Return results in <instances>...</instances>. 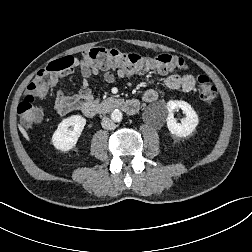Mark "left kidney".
Masks as SVG:
<instances>
[{
  "mask_svg": "<svg viewBox=\"0 0 252 252\" xmlns=\"http://www.w3.org/2000/svg\"><path fill=\"white\" fill-rule=\"evenodd\" d=\"M166 107L168 110L166 121L169 131L177 137L189 136L199 123L198 115L191 105L185 101L170 100L167 102ZM177 109H181L186 115V117L182 119L181 123H178L173 116V111Z\"/></svg>",
  "mask_w": 252,
  "mask_h": 252,
  "instance_id": "1",
  "label": "left kidney"
}]
</instances>
